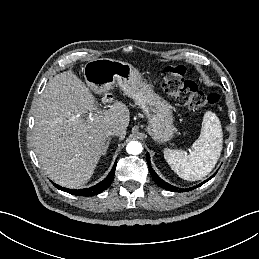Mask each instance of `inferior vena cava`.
I'll use <instances>...</instances> for the list:
<instances>
[{
  "label": "inferior vena cava",
  "mask_w": 259,
  "mask_h": 259,
  "mask_svg": "<svg viewBox=\"0 0 259 259\" xmlns=\"http://www.w3.org/2000/svg\"><path fill=\"white\" fill-rule=\"evenodd\" d=\"M119 136L120 135V129L117 127L110 128L106 131V136Z\"/></svg>",
  "instance_id": "obj_1"
}]
</instances>
